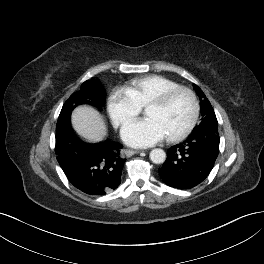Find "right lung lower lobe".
I'll use <instances>...</instances> for the list:
<instances>
[{
	"label": "right lung lower lobe",
	"instance_id": "obj_1",
	"mask_svg": "<svg viewBox=\"0 0 264 264\" xmlns=\"http://www.w3.org/2000/svg\"><path fill=\"white\" fill-rule=\"evenodd\" d=\"M122 145L105 140L88 144L79 139L71 126L56 136L57 161L71 184L89 195H105L121 183L126 161Z\"/></svg>",
	"mask_w": 264,
	"mask_h": 264
}]
</instances>
